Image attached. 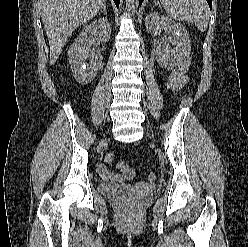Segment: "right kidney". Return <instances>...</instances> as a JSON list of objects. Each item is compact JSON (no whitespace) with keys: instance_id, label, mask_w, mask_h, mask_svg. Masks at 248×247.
<instances>
[{"instance_id":"right-kidney-1","label":"right kidney","mask_w":248,"mask_h":247,"mask_svg":"<svg viewBox=\"0 0 248 247\" xmlns=\"http://www.w3.org/2000/svg\"><path fill=\"white\" fill-rule=\"evenodd\" d=\"M111 29L107 19H98L86 26L68 50V60L75 79L81 84H88L97 74L98 63L91 52L95 42H107ZM89 60V62H87Z\"/></svg>"}]
</instances>
